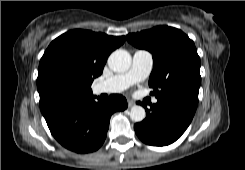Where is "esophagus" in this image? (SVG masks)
I'll return each mask as SVG.
<instances>
[{"label": "esophagus", "mask_w": 245, "mask_h": 170, "mask_svg": "<svg viewBox=\"0 0 245 170\" xmlns=\"http://www.w3.org/2000/svg\"><path fill=\"white\" fill-rule=\"evenodd\" d=\"M128 102V107H132L133 105H135V103L132 100H127Z\"/></svg>", "instance_id": "obj_1"}]
</instances>
